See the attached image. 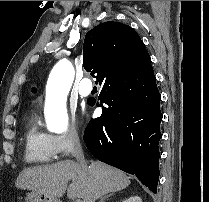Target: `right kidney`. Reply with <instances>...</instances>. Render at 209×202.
Here are the masks:
<instances>
[{"mask_svg":"<svg viewBox=\"0 0 209 202\" xmlns=\"http://www.w3.org/2000/svg\"><path fill=\"white\" fill-rule=\"evenodd\" d=\"M122 202H142V200L139 196H132Z\"/></svg>","mask_w":209,"mask_h":202,"instance_id":"right-kidney-1","label":"right kidney"}]
</instances>
